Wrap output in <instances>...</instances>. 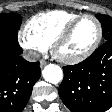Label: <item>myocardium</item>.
Returning <instances> with one entry per match:
<instances>
[{"label": "myocardium", "instance_id": "f54148a6", "mask_svg": "<svg viewBox=\"0 0 112 112\" xmlns=\"http://www.w3.org/2000/svg\"><path fill=\"white\" fill-rule=\"evenodd\" d=\"M84 18L93 19L97 25V35H96L94 42L85 52H83L82 54L78 56H74V57L62 56L59 53L60 46L70 36L74 27ZM102 37H103V27H102L101 21L93 14H88V13L81 14L75 19H73L70 23H68L64 27V29L58 34V36L54 39L52 43V53L57 59H59L60 61L64 63L77 64L89 58L97 50L102 40Z\"/></svg>", "mask_w": 112, "mask_h": 112}]
</instances>
